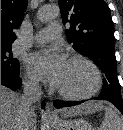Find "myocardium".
<instances>
[{"label":"myocardium","instance_id":"1","mask_svg":"<svg viewBox=\"0 0 123 130\" xmlns=\"http://www.w3.org/2000/svg\"><path fill=\"white\" fill-rule=\"evenodd\" d=\"M68 61L69 62H80V63H83L86 66H88L94 74V79H95L94 85L89 91H87L85 93H80V94L69 93V92L63 91L55 86L54 89H55L56 93L63 99L71 100V101L86 100V99H89V98H92L93 96H95L101 89L102 83H103L102 75H101V72H100L99 68L97 67V65L93 61H91L90 59H88L87 57H84L82 55H72L68 58Z\"/></svg>","mask_w":123,"mask_h":130}]
</instances>
